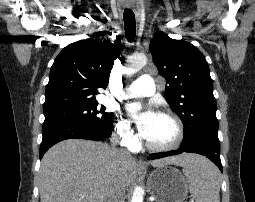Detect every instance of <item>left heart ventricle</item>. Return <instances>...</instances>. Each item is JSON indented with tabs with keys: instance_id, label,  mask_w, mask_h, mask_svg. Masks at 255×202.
Masks as SVG:
<instances>
[{
	"instance_id": "b2bd125f",
	"label": "left heart ventricle",
	"mask_w": 255,
	"mask_h": 202,
	"mask_svg": "<svg viewBox=\"0 0 255 202\" xmlns=\"http://www.w3.org/2000/svg\"><path fill=\"white\" fill-rule=\"evenodd\" d=\"M175 136L176 128L172 120L157 114L144 138L153 144H168Z\"/></svg>"
}]
</instances>
